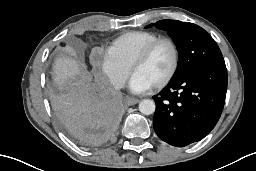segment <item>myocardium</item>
Instances as JSON below:
<instances>
[{
    "instance_id": "1",
    "label": "myocardium",
    "mask_w": 256,
    "mask_h": 171,
    "mask_svg": "<svg viewBox=\"0 0 256 171\" xmlns=\"http://www.w3.org/2000/svg\"><path fill=\"white\" fill-rule=\"evenodd\" d=\"M161 43H168L171 46L172 52H173V63L172 67L169 71V73L166 75V77L161 80L159 83L153 85L151 88L158 90L164 88L166 85H168L171 80L174 78L178 67H179V50L177 44L168 37H159L155 39L154 41L150 42L148 45H146L133 59L130 70L132 73H134V70L137 66L145 62L150 54L153 52V50Z\"/></svg>"
}]
</instances>
